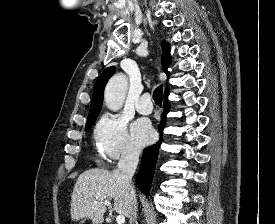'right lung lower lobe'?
<instances>
[{"instance_id":"right-lung-lower-lobe-1","label":"right lung lower lobe","mask_w":275,"mask_h":224,"mask_svg":"<svg viewBox=\"0 0 275 224\" xmlns=\"http://www.w3.org/2000/svg\"><path fill=\"white\" fill-rule=\"evenodd\" d=\"M169 93H170L169 88H167L164 94V111L161 115L162 120L159 125L160 137H162L163 135V127L165 125L166 115L169 112V102H168ZM160 143H161V138L156 144L149 146L145 149L142 156L141 166L136 177V186L138 187L139 190H141L146 195L150 194V187H151L152 177L155 170Z\"/></svg>"}]
</instances>
